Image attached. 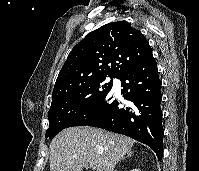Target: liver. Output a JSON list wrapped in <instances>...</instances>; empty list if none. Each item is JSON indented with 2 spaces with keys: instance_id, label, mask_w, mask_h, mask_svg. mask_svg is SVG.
I'll use <instances>...</instances> for the list:
<instances>
[{
  "instance_id": "obj_1",
  "label": "liver",
  "mask_w": 199,
  "mask_h": 171,
  "mask_svg": "<svg viewBox=\"0 0 199 171\" xmlns=\"http://www.w3.org/2000/svg\"><path fill=\"white\" fill-rule=\"evenodd\" d=\"M133 139L102 129L78 126L64 129L50 145V171H113L133 146Z\"/></svg>"
}]
</instances>
